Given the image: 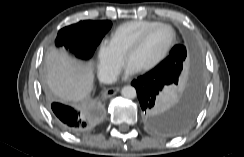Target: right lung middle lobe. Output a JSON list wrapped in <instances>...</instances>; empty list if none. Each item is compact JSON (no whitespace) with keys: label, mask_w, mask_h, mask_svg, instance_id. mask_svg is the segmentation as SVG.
<instances>
[{"label":"right lung middle lobe","mask_w":244,"mask_h":157,"mask_svg":"<svg viewBox=\"0 0 244 157\" xmlns=\"http://www.w3.org/2000/svg\"><path fill=\"white\" fill-rule=\"evenodd\" d=\"M110 21H80L77 24L65 27L58 32L56 45H64L77 57L90 58L104 35L111 28ZM98 107L90 106L83 110L93 115Z\"/></svg>","instance_id":"right-lung-middle-lobe-1"}]
</instances>
